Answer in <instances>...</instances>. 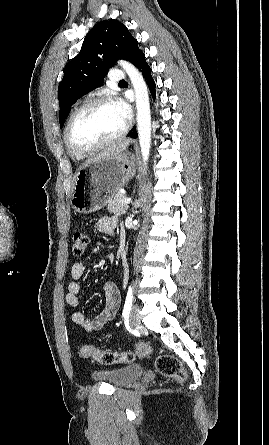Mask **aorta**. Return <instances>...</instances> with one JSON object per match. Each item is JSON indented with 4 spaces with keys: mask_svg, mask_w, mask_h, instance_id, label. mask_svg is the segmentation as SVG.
Returning a JSON list of instances; mask_svg holds the SVG:
<instances>
[{
    "mask_svg": "<svg viewBox=\"0 0 269 445\" xmlns=\"http://www.w3.org/2000/svg\"><path fill=\"white\" fill-rule=\"evenodd\" d=\"M119 65L129 76L135 91L138 138L143 161L146 164L151 147V115L148 89L143 76L132 64L120 61Z\"/></svg>",
    "mask_w": 269,
    "mask_h": 445,
    "instance_id": "aorta-1",
    "label": "aorta"
}]
</instances>
